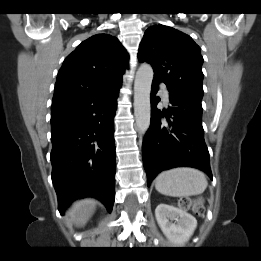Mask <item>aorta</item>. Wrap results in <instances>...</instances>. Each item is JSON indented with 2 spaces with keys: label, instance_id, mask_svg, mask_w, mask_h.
Returning a JSON list of instances; mask_svg holds the SVG:
<instances>
[{
  "label": "aorta",
  "instance_id": "762f6f07",
  "mask_svg": "<svg viewBox=\"0 0 261 261\" xmlns=\"http://www.w3.org/2000/svg\"><path fill=\"white\" fill-rule=\"evenodd\" d=\"M153 69L149 64H142L136 72L134 82V115L138 130L145 134L150 126V92Z\"/></svg>",
  "mask_w": 261,
  "mask_h": 261
}]
</instances>
